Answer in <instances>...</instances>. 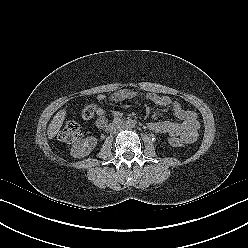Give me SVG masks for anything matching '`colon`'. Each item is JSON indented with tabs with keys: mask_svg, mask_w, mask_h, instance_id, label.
Wrapping results in <instances>:
<instances>
[{
	"mask_svg": "<svg viewBox=\"0 0 248 248\" xmlns=\"http://www.w3.org/2000/svg\"><path fill=\"white\" fill-rule=\"evenodd\" d=\"M96 112V106L94 104H88L81 110L82 119H91ZM59 139L63 142L73 143L80 139L81 129L78 122L71 120L68 121L61 129L58 135ZM168 142L173 147L183 146L186 142L181 137L171 136Z\"/></svg>",
	"mask_w": 248,
	"mask_h": 248,
	"instance_id": "colon-1",
	"label": "colon"
}]
</instances>
